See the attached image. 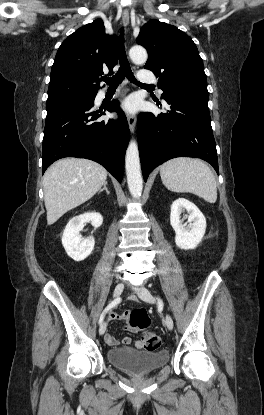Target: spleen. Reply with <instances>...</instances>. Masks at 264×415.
I'll list each match as a JSON object with an SVG mask.
<instances>
[{
  "label": "spleen",
  "mask_w": 264,
  "mask_h": 415,
  "mask_svg": "<svg viewBox=\"0 0 264 415\" xmlns=\"http://www.w3.org/2000/svg\"><path fill=\"white\" fill-rule=\"evenodd\" d=\"M160 176L167 189L179 193H193L205 201L215 203L217 186L213 172L199 159L180 157L165 162Z\"/></svg>",
  "instance_id": "1"
}]
</instances>
